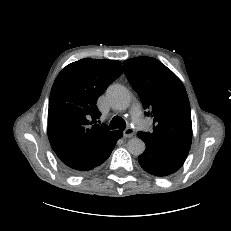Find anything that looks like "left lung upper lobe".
<instances>
[{
	"mask_svg": "<svg viewBox=\"0 0 231 231\" xmlns=\"http://www.w3.org/2000/svg\"><path fill=\"white\" fill-rule=\"evenodd\" d=\"M128 81L154 121L153 132H138L146 141L190 150L191 111L181 80L159 60L136 57L123 62Z\"/></svg>",
	"mask_w": 231,
	"mask_h": 231,
	"instance_id": "1",
	"label": "left lung upper lobe"
}]
</instances>
